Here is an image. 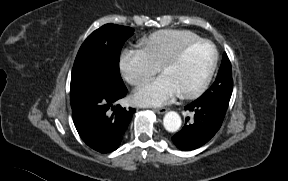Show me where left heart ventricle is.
<instances>
[{
	"label": "left heart ventricle",
	"instance_id": "b2bd125f",
	"mask_svg": "<svg viewBox=\"0 0 288 181\" xmlns=\"http://www.w3.org/2000/svg\"><path fill=\"white\" fill-rule=\"evenodd\" d=\"M214 50L209 44H200L192 48L175 66L162 72L178 93L198 86L209 73L213 61Z\"/></svg>",
	"mask_w": 288,
	"mask_h": 181
}]
</instances>
